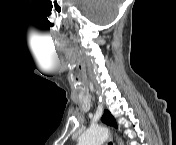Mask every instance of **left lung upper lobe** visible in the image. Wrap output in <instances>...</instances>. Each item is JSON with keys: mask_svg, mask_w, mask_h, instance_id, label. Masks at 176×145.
Segmentation results:
<instances>
[{"mask_svg": "<svg viewBox=\"0 0 176 145\" xmlns=\"http://www.w3.org/2000/svg\"><path fill=\"white\" fill-rule=\"evenodd\" d=\"M102 121L106 124L113 125L114 127L117 126L114 118L112 117L109 111H105V114L102 117Z\"/></svg>", "mask_w": 176, "mask_h": 145, "instance_id": "5c2ea615", "label": "left lung upper lobe"}]
</instances>
